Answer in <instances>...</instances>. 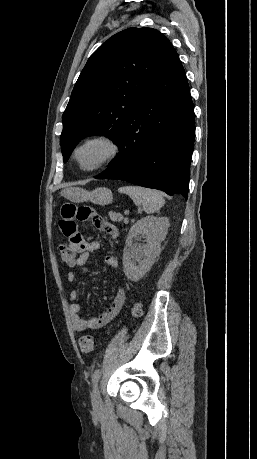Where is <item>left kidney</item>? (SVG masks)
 <instances>
[{
	"instance_id": "obj_1",
	"label": "left kidney",
	"mask_w": 257,
	"mask_h": 459,
	"mask_svg": "<svg viewBox=\"0 0 257 459\" xmlns=\"http://www.w3.org/2000/svg\"><path fill=\"white\" fill-rule=\"evenodd\" d=\"M169 228L167 217L146 216L138 220L130 229L123 253V268L126 277L134 282L140 280L152 267L160 254V244L165 239ZM142 236L146 245L133 243L134 238ZM134 260L139 265L134 264Z\"/></svg>"
}]
</instances>
